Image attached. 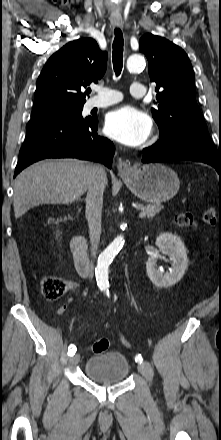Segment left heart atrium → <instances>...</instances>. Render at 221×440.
Returning <instances> with one entry per match:
<instances>
[{
  "instance_id": "39dd6f15",
  "label": "left heart atrium",
  "mask_w": 221,
  "mask_h": 440,
  "mask_svg": "<svg viewBox=\"0 0 221 440\" xmlns=\"http://www.w3.org/2000/svg\"><path fill=\"white\" fill-rule=\"evenodd\" d=\"M151 130L149 117L131 106H125L108 114L105 121L106 134L129 146L142 144Z\"/></svg>"
}]
</instances>
